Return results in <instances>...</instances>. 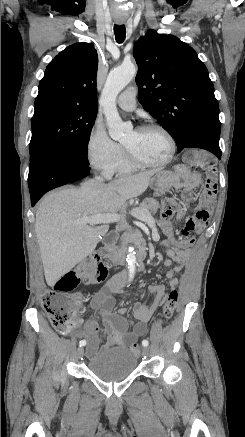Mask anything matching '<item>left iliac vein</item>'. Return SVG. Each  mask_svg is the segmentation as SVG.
<instances>
[{
	"label": "left iliac vein",
	"mask_w": 245,
	"mask_h": 437,
	"mask_svg": "<svg viewBox=\"0 0 245 437\" xmlns=\"http://www.w3.org/2000/svg\"><path fill=\"white\" fill-rule=\"evenodd\" d=\"M142 354H143V356L147 357V356L149 355V350H148V348L143 347V349H142Z\"/></svg>",
	"instance_id": "1"
}]
</instances>
